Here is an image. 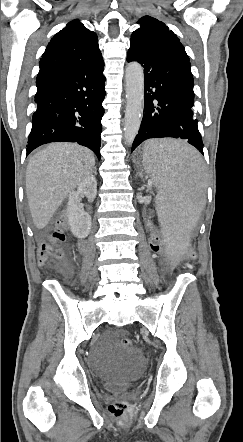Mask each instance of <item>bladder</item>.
Segmentation results:
<instances>
[{"label":"bladder","mask_w":243,"mask_h":442,"mask_svg":"<svg viewBox=\"0 0 243 442\" xmlns=\"http://www.w3.org/2000/svg\"><path fill=\"white\" fill-rule=\"evenodd\" d=\"M143 368V362L137 354H119L117 369L105 381L104 388L114 392L128 389L138 380Z\"/></svg>","instance_id":"31cf9c89"}]
</instances>
